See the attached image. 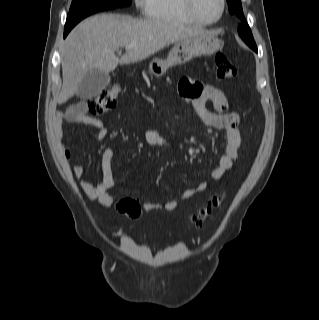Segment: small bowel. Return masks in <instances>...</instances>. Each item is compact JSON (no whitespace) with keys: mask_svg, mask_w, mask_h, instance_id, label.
<instances>
[{"mask_svg":"<svg viewBox=\"0 0 319 320\" xmlns=\"http://www.w3.org/2000/svg\"><path fill=\"white\" fill-rule=\"evenodd\" d=\"M179 95L193 107L197 117L204 125L224 130L226 133L224 153L219 159L218 166L210 174V180L217 181L233 167L238 157L242 142V133L239 130V116L234 112L228 111L225 95L213 85L184 77L179 83ZM208 103L212 104L214 111H210L207 108ZM64 122L83 123L95 128L96 131L92 134V138L96 140H102L109 135L106 125L100 119L89 116L87 107L83 103L73 106L69 111L58 116L57 129L59 132L60 125ZM146 141L158 155L168 152L171 148V142L156 129H151L147 132ZM64 156L66 159H70L71 154L66 150ZM114 157V149L107 147L102 151L100 157L102 180L100 183L95 184L89 180L80 182V187L88 198L98 199L107 208L111 207L115 202L113 196L109 193L116 186L112 169ZM73 173L76 178L80 179L85 173V167L82 164H77L73 168ZM207 186V181L201 182L197 186L187 189L182 197L183 199L191 198L204 191ZM176 206V201L145 202L143 204V208L147 212L169 211L175 209Z\"/></svg>","mask_w":319,"mask_h":320,"instance_id":"c3829d8e","label":"small bowel"}]
</instances>
